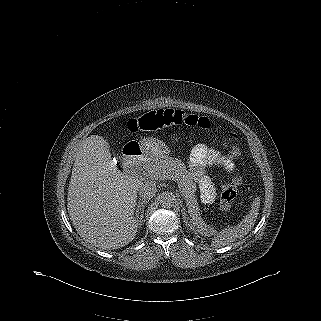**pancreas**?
Here are the masks:
<instances>
[{
	"instance_id": "pancreas-1",
	"label": "pancreas",
	"mask_w": 321,
	"mask_h": 321,
	"mask_svg": "<svg viewBox=\"0 0 321 321\" xmlns=\"http://www.w3.org/2000/svg\"><path fill=\"white\" fill-rule=\"evenodd\" d=\"M147 171L159 172L166 178L176 177L179 180L180 190L185 198L186 206L195 223L203 224L200 218V209L195 195L196 187L193 182V176L186 170L184 163L176 158L165 156L163 158H154L146 165Z\"/></svg>"
}]
</instances>
